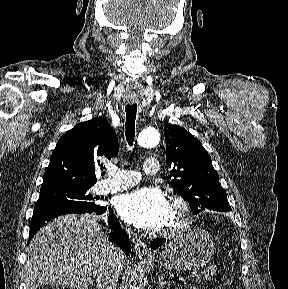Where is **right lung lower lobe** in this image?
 Returning <instances> with one entry per match:
<instances>
[{
    "mask_svg": "<svg viewBox=\"0 0 288 289\" xmlns=\"http://www.w3.org/2000/svg\"><path fill=\"white\" fill-rule=\"evenodd\" d=\"M107 211V207L100 205L95 209H81L68 206H44L39 208H34L33 217L30 222V232L29 241L34 236V234L43 226L46 222L52 220L53 218L68 214V213H95L96 215H102ZM109 227L113 232L109 233L110 240L119 246L126 256L129 255L131 247L128 235L123 231L120 223L115 215H110L108 218ZM28 241V242H29Z\"/></svg>",
    "mask_w": 288,
    "mask_h": 289,
    "instance_id": "98d812e1",
    "label": "right lung lower lobe"
}]
</instances>
